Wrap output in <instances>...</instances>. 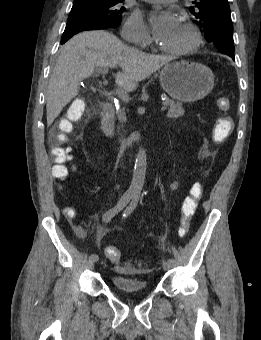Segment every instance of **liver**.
Instances as JSON below:
<instances>
[{
	"mask_svg": "<svg viewBox=\"0 0 261 340\" xmlns=\"http://www.w3.org/2000/svg\"><path fill=\"white\" fill-rule=\"evenodd\" d=\"M171 58L149 55L124 45L106 31H86L72 37L62 48L51 75L46 97L47 125L50 126L62 109L77 96L80 82L90 77L96 67L115 68L122 72L115 82L126 91L134 90Z\"/></svg>",
	"mask_w": 261,
	"mask_h": 340,
	"instance_id": "obj_1",
	"label": "liver"
}]
</instances>
